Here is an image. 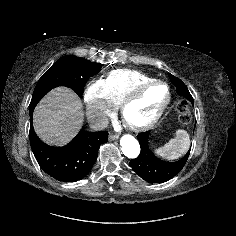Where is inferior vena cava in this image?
Returning <instances> with one entry per match:
<instances>
[{
	"label": "inferior vena cava",
	"mask_w": 236,
	"mask_h": 236,
	"mask_svg": "<svg viewBox=\"0 0 236 236\" xmlns=\"http://www.w3.org/2000/svg\"><path fill=\"white\" fill-rule=\"evenodd\" d=\"M108 117L104 114L99 115L93 119H91L90 121V127L93 130L99 131V130H103L108 126Z\"/></svg>",
	"instance_id": "inferior-vena-cava-1"
}]
</instances>
